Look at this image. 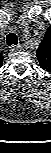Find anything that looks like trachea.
<instances>
[{
    "instance_id": "obj_1",
    "label": "trachea",
    "mask_w": 51,
    "mask_h": 153,
    "mask_svg": "<svg viewBox=\"0 0 51 153\" xmlns=\"http://www.w3.org/2000/svg\"><path fill=\"white\" fill-rule=\"evenodd\" d=\"M6 43L8 46H14L18 43V39L15 33H10L6 37Z\"/></svg>"
}]
</instances>
